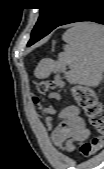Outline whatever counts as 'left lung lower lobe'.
Masks as SVG:
<instances>
[{
	"label": "left lung lower lobe",
	"instance_id": "obj_1",
	"mask_svg": "<svg viewBox=\"0 0 104 169\" xmlns=\"http://www.w3.org/2000/svg\"><path fill=\"white\" fill-rule=\"evenodd\" d=\"M101 2V0H77L74 9L58 24V26L81 21H92L104 24V7ZM49 33V31L42 32L41 30L32 32L31 39L27 46H31Z\"/></svg>",
	"mask_w": 104,
	"mask_h": 169
}]
</instances>
